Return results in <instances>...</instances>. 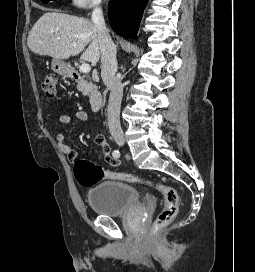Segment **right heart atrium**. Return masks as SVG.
I'll return each mask as SVG.
<instances>
[{
  "label": "right heart atrium",
  "mask_w": 255,
  "mask_h": 272,
  "mask_svg": "<svg viewBox=\"0 0 255 272\" xmlns=\"http://www.w3.org/2000/svg\"><path fill=\"white\" fill-rule=\"evenodd\" d=\"M101 2L102 0H70L71 5L79 9L98 7Z\"/></svg>",
  "instance_id": "1"
}]
</instances>
